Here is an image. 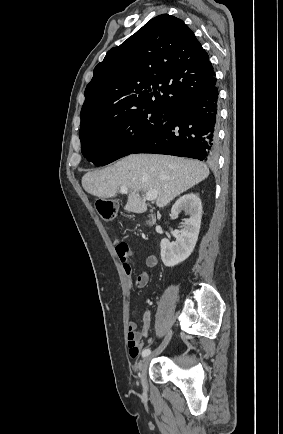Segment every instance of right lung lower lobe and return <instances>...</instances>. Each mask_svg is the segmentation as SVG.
I'll use <instances>...</instances> for the list:
<instances>
[{"label": "right lung lower lobe", "mask_w": 283, "mask_h": 434, "mask_svg": "<svg viewBox=\"0 0 283 434\" xmlns=\"http://www.w3.org/2000/svg\"><path fill=\"white\" fill-rule=\"evenodd\" d=\"M218 89L191 96L166 111V121L132 153H156L213 162L216 159Z\"/></svg>", "instance_id": "obj_1"}]
</instances>
